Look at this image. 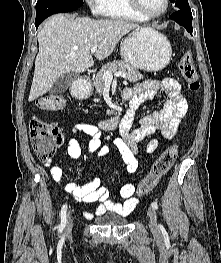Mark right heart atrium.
Returning a JSON list of instances; mask_svg holds the SVG:
<instances>
[{
  "label": "right heart atrium",
  "instance_id": "obj_1",
  "mask_svg": "<svg viewBox=\"0 0 221 263\" xmlns=\"http://www.w3.org/2000/svg\"><path fill=\"white\" fill-rule=\"evenodd\" d=\"M89 9L94 15L103 13L104 0H85Z\"/></svg>",
  "mask_w": 221,
  "mask_h": 263
}]
</instances>
